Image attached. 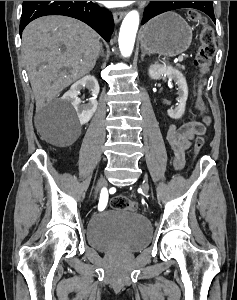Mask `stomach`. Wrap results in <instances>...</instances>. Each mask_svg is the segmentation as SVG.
<instances>
[{
    "label": "stomach",
    "instance_id": "obj_1",
    "mask_svg": "<svg viewBox=\"0 0 237 300\" xmlns=\"http://www.w3.org/2000/svg\"><path fill=\"white\" fill-rule=\"evenodd\" d=\"M192 29L177 13H164L148 21L140 31V43L150 53L176 57L189 49Z\"/></svg>",
    "mask_w": 237,
    "mask_h": 300
}]
</instances>
